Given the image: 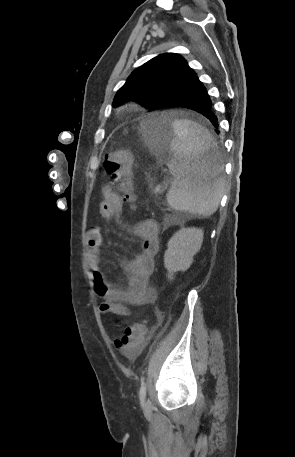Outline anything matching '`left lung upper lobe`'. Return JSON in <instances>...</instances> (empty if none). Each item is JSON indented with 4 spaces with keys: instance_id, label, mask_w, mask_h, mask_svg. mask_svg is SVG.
<instances>
[{
    "instance_id": "obj_1",
    "label": "left lung upper lobe",
    "mask_w": 295,
    "mask_h": 457,
    "mask_svg": "<svg viewBox=\"0 0 295 457\" xmlns=\"http://www.w3.org/2000/svg\"><path fill=\"white\" fill-rule=\"evenodd\" d=\"M192 69L179 54L163 53L135 69L114 97V106L127 100L157 110L161 101L187 87Z\"/></svg>"
}]
</instances>
